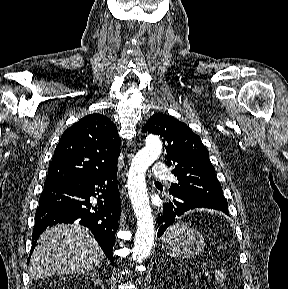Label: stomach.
<instances>
[{"label": "stomach", "instance_id": "obj_1", "mask_svg": "<svg viewBox=\"0 0 288 289\" xmlns=\"http://www.w3.org/2000/svg\"><path fill=\"white\" fill-rule=\"evenodd\" d=\"M205 243L202 234L193 228H187L174 235L164 238L162 247L173 257L188 258L199 254Z\"/></svg>", "mask_w": 288, "mask_h": 289}]
</instances>
